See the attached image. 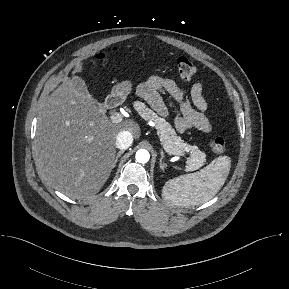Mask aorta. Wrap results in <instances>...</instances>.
<instances>
[{
  "label": "aorta",
  "instance_id": "aorta-1",
  "mask_svg": "<svg viewBox=\"0 0 289 289\" xmlns=\"http://www.w3.org/2000/svg\"><path fill=\"white\" fill-rule=\"evenodd\" d=\"M136 161L138 163H142V164H145L149 161L150 159V154L147 150L145 149H140L136 152Z\"/></svg>",
  "mask_w": 289,
  "mask_h": 289
}]
</instances>
